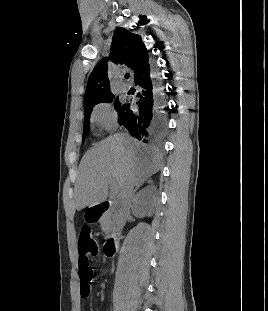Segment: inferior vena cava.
<instances>
[{
	"mask_svg": "<svg viewBox=\"0 0 268 311\" xmlns=\"http://www.w3.org/2000/svg\"><path fill=\"white\" fill-rule=\"evenodd\" d=\"M133 194H134L133 186L130 184H127L121 192V203L118 211V221H117L119 229H122L125 224V218L127 214H129Z\"/></svg>",
	"mask_w": 268,
	"mask_h": 311,
	"instance_id": "obj_1",
	"label": "inferior vena cava"
}]
</instances>
